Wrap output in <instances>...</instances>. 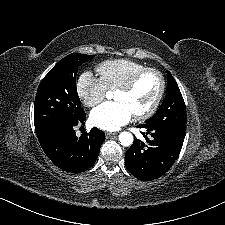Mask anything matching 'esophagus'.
Here are the masks:
<instances>
[{
    "instance_id": "esophagus-1",
    "label": "esophagus",
    "mask_w": 225,
    "mask_h": 225,
    "mask_svg": "<svg viewBox=\"0 0 225 225\" xmlns=\"http://www.w3.org/2000/svg\"><path fill=\"white\" fill-rule=\"evenodd\" d=\"M105 134H106V137H107V138H109V137H112V136L116 135V133H115V132H106Z\"/></svg>"
}]
</instances>
